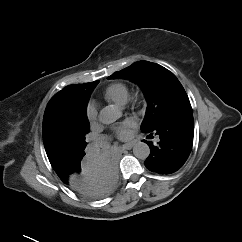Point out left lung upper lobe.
<instances>
[{
    "label": "left lung upper lobe",
    "instance_id": "1",
    "mask_svg": "<svg viewBox=\"0 0 242 242\" xmlns=\"http://www.w3.org/2000/svg\"><path fill=\"white\" fill-rule=\"evenodd\" d=\"M108 78L131 80L143 90L148 106L141 131L153 130L170 114L184 107H191L189 98L176 76L156 63L136 62Z\"/></svg>",
    "mask_w": 242,
    "mask_h": 242
}]
</instances>
